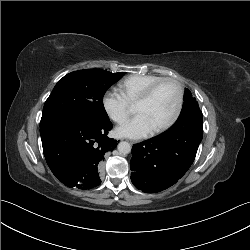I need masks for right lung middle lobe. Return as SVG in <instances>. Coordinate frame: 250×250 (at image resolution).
I'll list each match as a JSON object with an SVG mask.
<instances>
[{"mask_svg": "<svg viewBox=\"0 0 250 250\" xmlns=\"http://www.w3.org/2000/svg\"><path fill=\"white\" fill-rule=\"evenodd\" d=\"M123 75L97 69L79 70L65 75L44 104L40 127L59 120L90 123L109 121L103 96Z\"/></svg>", "mask_w": 250, "mask_h": 250, "instance_id": "right-lung-middle-lobe-1", "label": "right lung middle lobe"}]
</instances>
